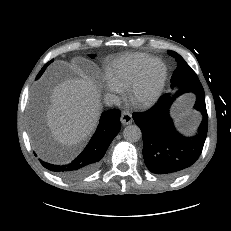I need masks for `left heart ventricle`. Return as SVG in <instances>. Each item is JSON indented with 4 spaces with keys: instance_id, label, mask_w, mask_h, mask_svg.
Segmentation results:
<instances>
[{
    "instance_id": "left-heart-ventricle-1",
    "label": "left heart ventricle",
    "mask_w": 231,
    "mask_h": 231,
    "mask_svg": "<svg viewBox=\"0 0 231 231\" xmlns=\"http://www.w3.org/2000/svg\"><path fill=\"white\" fill-rule=\"evenodd\" d=\"M160 76V66L154 65L148 72L146 79L138 91L142 98L148 97L155 89Z\"/></svg>"
}]
</instances>
